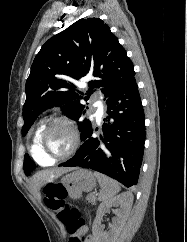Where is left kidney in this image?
Here are the masks:
<instances>
[{"label": "left kidney", "instance_id": "5707ae66", "mask_svg": "<svg viewBox=\"0 0 187 242\" xmlns=\"http://www.w3.org/2000/svg\"><path fill=\"white\" fill-rule=\"evenodd\" d=\"M132 203L133 194L125 192L100 204L92 226L94 242H116L130 213ZM112 207L119 208L114 210L116 217L113 218L112 224H109L110 231L105 232L101 222L105 213L110 211Z\"/></svg>", "mask_w": 187, "mask_h": 242}]
</instances>
